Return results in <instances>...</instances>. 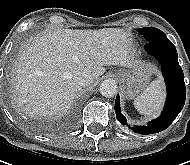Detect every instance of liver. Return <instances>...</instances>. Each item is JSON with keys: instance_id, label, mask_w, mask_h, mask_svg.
I'll use <instances>...</instances> for the list:
<instances>
[{"instance_id": "6515ba94", "label": "liver", "mask_w": 190, "mask_h": 165, "mask_svg": "<svg viewBox=\"0 0 190 165\" xmlns=\"http://www.w3.org/2000/svg\"><path fill=\"white\" fill-rule=\"evenodd\" d=\"M137 64L122 29L50 30L32 39L14 64L16 103L30 115H61L77 95L74 74L84 71L97 80L105 66Z\"/></svg>"}]
</instances>
